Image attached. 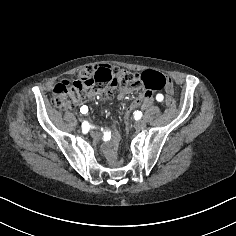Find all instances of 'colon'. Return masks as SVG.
<instances>
[{"label": "colon", "mask_w": 236, "mask_h": 236, "mask_svg": "<svg viewBox=\"0 0 236 236\" xmlns=\"http://www.w3.org/2000/svg\"><path fill=\"white\" fill-rule=\"evenodd\" d=\"M118 84L132 85L142 84L143 92L135 97L127 110L128 120L132 110L142 100L149 96L152 91L171 89V80L160 72L153 70L136 74L109 65H88L79 71L77 80L62 81L58 83L51 94L52 105L62 111L72 110L87 94L95 91L108 92ZM168 107H174L175 103L171 97H167Z\"/></svg>", "instance_id": "1"}]
</instances>
